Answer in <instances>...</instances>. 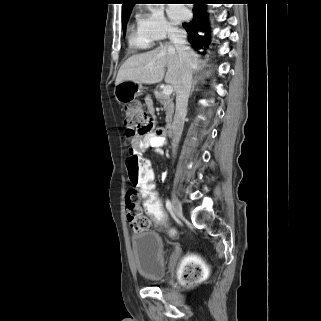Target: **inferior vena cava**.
I'll return each mask as SVG.
<instances>
[{
	"label": "inferior vena cava",
	"instance_id": "602c4592",
	"mask_svg": "<svg viewBox=\"0 0 321 321\" xmlns=\"http://www.w3.org/2000/svg\"><path fill=\"white\" fill-rule=\"evenodd\" d=\"M186 32L184 30L170 29L168 38L175 46L180 60V76L176 91V109L172 124V152L175 154L178 147L184 120L187 113L188 98L192 83V63L189 48L186 43Z\"/></svg>",
	"mask_w": 321,
	"mask_h": 321
}]
</instances>
